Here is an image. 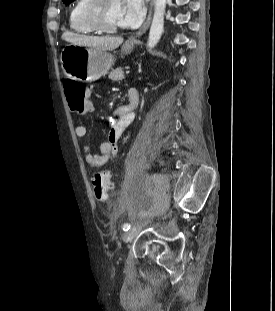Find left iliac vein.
<instances>
[{"label":"left iliac vein","mask_w":275,"mask_h":311,"mask_svg":"<svg viewBox=\"0 0 275 311\" xmlns=\"http://www.w3.org/2000/svg\"><path fill=\"white\" fill-rule=\"evenodd\" d=\"M141 230V227L140 226H137V227H133L131 228L130 230L126 231L124 234H123V241L124 242H129L131 241L138 233L139 231Z\"/></svg>","instance_id":"4c4485c4"}]
</instances>
